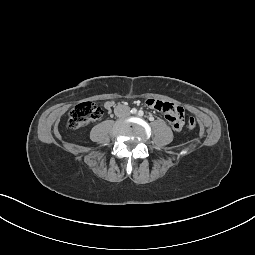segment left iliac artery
Returning <instances> with one entry per match:
<instances>
[{
    "mask_svg": "<svg viewBox=\"0 0 255 255\" xmlns=\"http://www.w3.org/2000/svg\"><path fill=\"white\" fill-rule=\"evenodd\" d=\"M143 115H144V112H143L142 110H139V111H138V116L141 117V116H143Z\"/></svg>",
    "mask_w": 255,
    "mask_h": 255,
    "instance_id": "1",
    "label": "left iliac artery"
}]
</instances>
